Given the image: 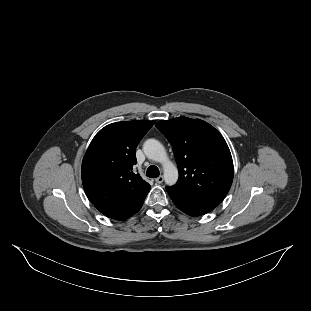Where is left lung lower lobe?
Here are the masks:
<instances>
[{"instance_id":"1","label":"left lung lower lobe","mask_w":311,"mask_h":311,"mask_svg":"<svg viewBox=\"0 0 311 311\" xmlns=\"http://www.w3.org/2000/svg\"><path fill=\"white\" fill-rule=\"evenodd\" d=\"M174 204L190 216H200L213 210L219 203L193 198L185 193L166 187Z\"/></svg>"}]
</instances>
